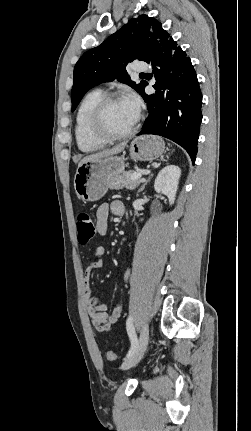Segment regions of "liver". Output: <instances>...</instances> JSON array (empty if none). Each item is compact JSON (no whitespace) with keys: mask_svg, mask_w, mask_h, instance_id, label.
<instances>
[{"mask_svg":"<svg viewBox=\"0 0 251 431\" xmlns=\"http://www.w3.org/2000/svg\"><path fill=\"white\" fill-rule=\"evenodd\" d=\"M126 145H127V142H122V143L114 146L111 149H105V150L100 151L98 153H94V154L88 155V156L84 157L79 162L78 166L82 165L83 163L89 162V161H95V160H98V159H101V158H104V157H107V156L118 154V153H120V152H122L124 150V148L126 147Z\"/></svg>","mask_w":251,"mask_h":431,"instance_id":"obj_1","label":"liver"}]
</instances>
